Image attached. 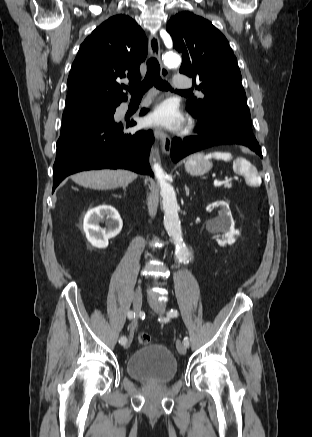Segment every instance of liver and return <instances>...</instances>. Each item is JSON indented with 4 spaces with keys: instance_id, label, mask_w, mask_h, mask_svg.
<instances>
[{
    "instance_id": "liver-1",
    "label": "liver",
    "mask_w": 312,
    "mask_h": 437,
    "mask_svg": "<svg viewBox=\"0 0 312 437\" xmlns=\"http://www.w3.org/2000/svg\"><path fill=\"white\" fill-rule=\"evenodd\" d=\"M137 174L134 172L118 169V170H93L75 174L71 179L85 188L94 190H109L118 187H126Z\"/></svg>"
}]
</instances>
